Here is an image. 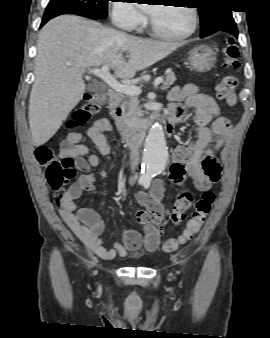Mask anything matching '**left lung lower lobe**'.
Segmentation results:
<instances>
[{"mask_svg": "<svg viewBox=\"0 0 270 338\" xmlns=\"http://www.w3.org/2000/svg\"><path fill=\"white\" fill-rule=\"evenodd\" d=\"M222 31L229 32L233 34L235 37H238V31L235 22L225 25L222 28Z\"/></svg>", "mask_w": 270, "mask_h": 338, "instance_id": "1", "label": "left lung lower lobe"}]
</instances>
